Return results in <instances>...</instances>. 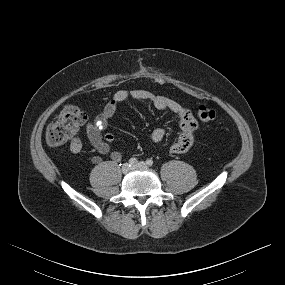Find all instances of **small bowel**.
Instances as JSON below:
<instances>
[{"mask_svg": "<svg viewBox=\"0 0 285 285\" xmlns=\"http://www.w3.org/2000/svg\"><path fill=\"white\" fill-rule=\"evenodd\" d=\"M128 99L146 101L158 110L172 112L178 120L181 133L170 147V151L174 154H183L191 149L195 141V132L198 128L192 113L170 98L143 89H133L115 92L95 120L87 123L85 128L87 137L98 153L102 155L110 153V157L114 162L122 160L120 151H110V143L114 140V134L110 131L104 132V130L107 128L109 120L114 116L117 107ZM165 135L166 131L158 128L153 131L151 139L154 143H160L165 138ZM69 148L73 154H79L83 148L82 140L78 136H74L70 141ZM89 161L98 163L100 159L99 157H90Z\"/></svg>", "mask_w": 285, "mask_h": 285, "instance_id": "obj_1", "label": "small bowel"}]
</instances>
